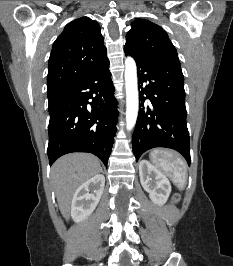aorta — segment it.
I'll use <instances>...</instances> for the list:
<instances>
[{"instance_id": "1", "label": "aorta", "mask_w": 233, "mask_h": 266, "mask_svg": "<svg viewBox=\"0 0 233 266\" xmlns=\"http://www.w3.org/2000/svg\"><path fill=\"white\" fill-rule=\"evenodd\" d=\"M126 124L130 131L136 124L139 110L138 78L135 60L125 59Z\"/></svg>"}]
</instances>
